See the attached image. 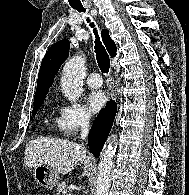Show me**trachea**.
<instances>
[{
  "label": "trachea",
  "instance_id": "trachea-1",
  "mask_svg": "<svg viewBox=\"0 0 189 195\" xmlns=\"http://www.w3.org/2000/svg\"><path fill=\"white\" fill-rule=\"evenodd\" d=\"M78 12H85L86 9L85 8H75ZM88 22H90L89 19H87ZM89 25L93 28V33L95 35V53H96V60L98 63V66L100 68V70L103 73H108L109 72V68H110V58L108 53L106 52L104 46L102 45V43L100 42V38L98 35V32L96 30V28H94V23H89Z\"/></svg>",
  "mask_w": 189,
  "mask_h": 195
}]
</instances>
